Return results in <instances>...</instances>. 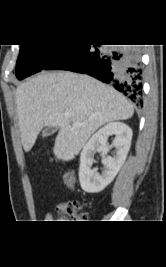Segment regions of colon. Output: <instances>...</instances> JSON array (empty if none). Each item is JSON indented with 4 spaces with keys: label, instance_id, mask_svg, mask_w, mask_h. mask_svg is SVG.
<instances>
[{
    "label": "colon",
    "instance_id": "5ec220e1",
    "mask_svg": "<svg viewBox=\"0 0 166 267\" xmlns=\"http://www.w3.org/2000/svg\"><path fill=\"white\" fill-rule=\"evenodd\" d=\"M73 180H74V173L72 171H68L65 175L66 185H68V183H70ZM57 213L59 215L58 220H61L57 222H68L63 220H71L83 216L81 212V204L77 201H67L60 203L57 206Z\"/></svg>",
    "mask_w": 166,
    "mask_h": 267
}]
</instances>
